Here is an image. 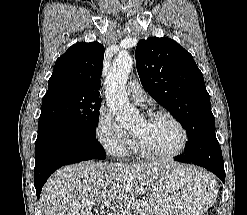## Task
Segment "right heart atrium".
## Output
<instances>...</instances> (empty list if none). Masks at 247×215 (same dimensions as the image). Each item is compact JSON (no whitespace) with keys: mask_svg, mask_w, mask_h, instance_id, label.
I'll list each match as a JSON object with an SVG mask.
<instances>
[{"mask_svg":"<svg viewBox=\"0 0 247 215\" xmlns=\"http://www.w3.org/2000/svg\"><path fill=\"white\" fill-rule=\"evenodd\" d=\"M94 135L109 155L122 157L126 154L130 136L120 128L114 117L105 107H101L98 111Z\"/></svg>","mask_w":247,"mask_h":215,"instance_id":"d8ad5b80","label":"right heart atrium"}]
</instances>
